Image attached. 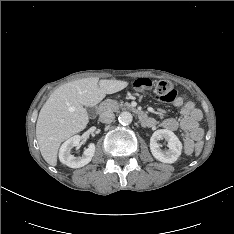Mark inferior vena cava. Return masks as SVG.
<instances>
[{"label":"inferior vena cava","mask_w":234,"mask_h":234,"mask_svg":"<svg viewBox=\"0 0 234 234\" xmlns=\"http://www.w3.org/2000/svg\"><path fill=\"white\" fill-rule=\"evenodd\" d=\"M115 115L113 112L106 111L100 114L99 121L105 124H110L114 121Z\"/></svg>","instance_id":"inferior-vena-cava-1"}]
</instances>
